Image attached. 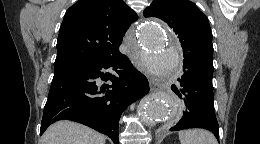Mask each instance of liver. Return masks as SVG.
Returning a JSON list of instances; mask_svg holds the SVG:
<instances>
[{
	"instance_id": "1",
	"label": "liver",
	"mask_w": 260,
	"mask_h": 144,
	"mask_svg": "<svg viewBox=\"0 0 260 144\" xmlns=\"http://www.w3.org/2000/svg\"><path fill=\"white\" fill-rule=\"evenodd\" d=\"M40 144H105V136L78 123L59 121L45 131Z\"/></svg>"
}]
</instances>
